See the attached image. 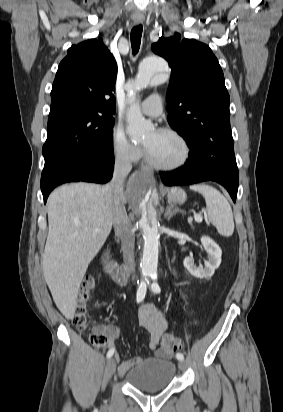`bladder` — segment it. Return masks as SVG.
Instances as JSON below:
<instances>
[{"instance_id": "obj_1", "label": "bladder", "mask_w": 283, "mask_h": 412, "mask_svg": "<svg viewBox=\"0 0 283 412\" xmlns=\"http://www.w3.org/2000/svg\"><path fill=\"white\" fill-rule=\"evenodd\" d=\"M176 365L172 360H144L126 372V382L144 392H159L171 386L176 376Z\"/></svg>"}]
</instances>
